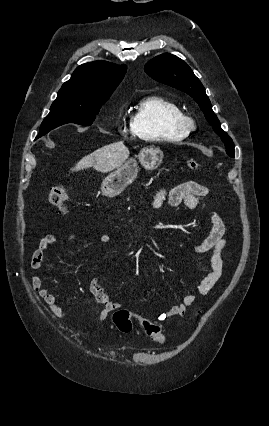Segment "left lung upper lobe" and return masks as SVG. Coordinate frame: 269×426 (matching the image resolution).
Wrapping results in <instances>:
<instances>
[{
  "label": "left lung upper lobe",
  "mask_w": 269,
  "mask_h": 426,
  "mask_svg": "<svg viewBox=\"0 0 269 426\" xmlns=\"http://www.w3.org/2000/svg\"><path fill=\"white\" fill-rule=\"evenodd\" d=\"M144 70L153 79L190 95L198 103L213 130L225 143L227 154L230 157H234L232 139L222 130L220 122L212 110V105L206 95L204 86L183 60L172 54H162L150 60L145 65Z\"/></svg>",
  "instance_id": "left-lung-upper-lobe-1"
}]
</instances>
